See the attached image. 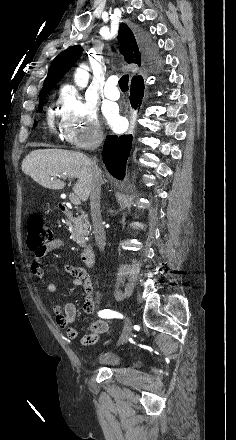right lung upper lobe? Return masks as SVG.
I'll list each match as a JSON object with an SVG mask.
<instances>
[{"instance_id":"right-lung-upper-lobe-1","label":"right lung upper lobe","mask_w":236,"mask_h":440,"mask_svg":"<svg viewBox=\"0 0 236 440\" xmlns=\"http://www.w3.org/2000/svg\"><path fill=\"white\" fill-rule=\"evenodd\" d=\"M118 38L120 40V49L123 52L127 63L141 65L144 57L141 51L139 39L134 35L132 30L124 23L120 24ZM81 46H73L61 52L51 63L48 75L44 81L40 97L46 95L48 90L55 88L56 83L60 81L69 69L74 65L76 60L81 56ZM143 79L141 76L132 78V83Z\"/></svg>"}]
</instances>
